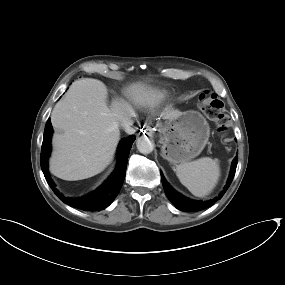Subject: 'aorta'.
I'll return each mask as SVG.
<instances>
[{
    "instance_id": "obj_1",
    "label": "aorta",
    "mask_w": 285,
    "mask_h": 285,
    "mask_svg": "<svg viewBox=\"0 0 285 285\" xmlns=\"http://www.w3.org/2000/svg\"><path fill=\"white\" fill-rule=\"evenodd\" d=\"M137 149L142 154H149L154 149V142L147 136H141L136 141Z\"/></svg>"
}]
</instances>
